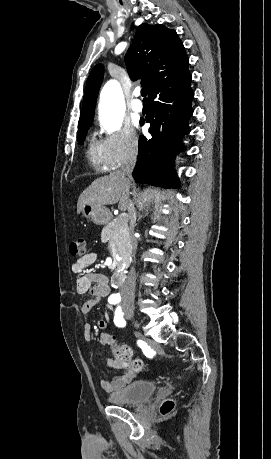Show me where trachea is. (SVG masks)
I'll return each instance as SVG.
<instances>
[{"mask_svg": "<svg viewBox=\"0 0 271 459\" xmlns=\"http://www.w3.org/2000/svg\"><path fill=\"white\" fill-rule=\"evenodd\" d=\"M141 95H142V97H144V98H143V101H144V102H147L148 100H147V98H146V96H147V89H146V88H142V89H141Z\"/></svg>", "mask_w": 271, "mask_h": 459, "instance_id": "trachea-1", "label": "trachea"}]
</instances>
